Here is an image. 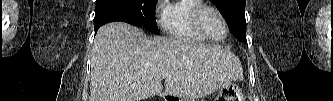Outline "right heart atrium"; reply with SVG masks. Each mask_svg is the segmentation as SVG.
<instances>
[{
    "mask_svg": "<svg viewBox=\"0 0 333 101\" xmlns=\"http://www.w3.org/2000/svg\"><path fill=\"white\" fill-rule=\"evenodd\" d=\"M167 4L165 1H158L157 8H156V14L158 18V22L162 27L166 26V19H167Z\"/></svg>",
    "mask_w": 333,
    "mask_h": 101,
    "instance_id": "obj_1",
    "label": "right heart atrium"
}]
</instances>
